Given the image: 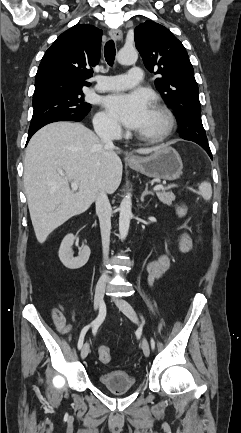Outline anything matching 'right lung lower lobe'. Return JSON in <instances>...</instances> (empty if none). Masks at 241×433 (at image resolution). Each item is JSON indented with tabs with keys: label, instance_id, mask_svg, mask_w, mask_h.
Returning <instances> with one entry per match:
<instances>
[{
	"label": "right lung lower lobe",
	"instance_id": "right-lung-lower-lobe-1",
	"mask_svg": "<svg viewBox=\"0 0 241 433\" xmlns=\"http://www.w3.org/2000/svg\"><path fill=\"white\" fill-rule=\"evenodd\" d=\"M83 118H84V117H70V116H64V117H60V118H58V119H55V120H53V121H51V122H49V123L57 122V121H76V122H78V121H81ZM49 123H47V124H49ZM45 125H46V124H45ZM45 125H43V126H45ZM43 126H41V127H43ZM41 127H39L38 129H36V130L31 131V132L28 133L27 143H28L29 139L33 136V134H34L36 131H38Z\"/></svg>",
	"mask_w": 241,
	"mask_h": 433
}]
</instances>
